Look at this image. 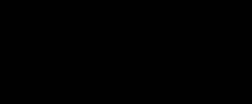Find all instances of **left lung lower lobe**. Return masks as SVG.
I'll return each instance as SVG.
<instances>
[{
    "label": "left lung lower lobe",
    "mask_w": 252,
    "mask_h": 104,
    "mask_svg": "<svg viewBox=\"0 0 252 104\" xmlns=\"http://www.w3.org/2000/svg\"><path fill=\"white\" fill-rule=\"evenodd\" d=\"M217 90V80L213 74L189 78H177L169 85L153 94L158 102L190 104L212 103Z\"/></svg>",
    "instance_id": "1"
}]
</instances>
